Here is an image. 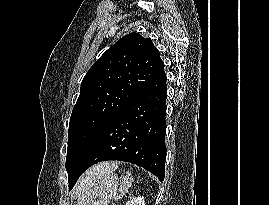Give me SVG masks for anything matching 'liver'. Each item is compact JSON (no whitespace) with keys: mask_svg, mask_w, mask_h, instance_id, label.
I'll list each match as a JSON object with an SVG mask.
<instances>
[{"mask_svg":"<svg viewBox=\"0 0 269 205\" xmlns=\"http://www.w3.org/2000/svg\"><path fill=\"white\" fill-rule=\"evenodd\" d=\"M117 167L115 162H102L90 168L79 180L76 194L78 196L84 193L104 175L112 172Z\"/></svg>","mask_w":269,"mask_h":205,"instance_id":"1","label":"liver"}]
</instances>
